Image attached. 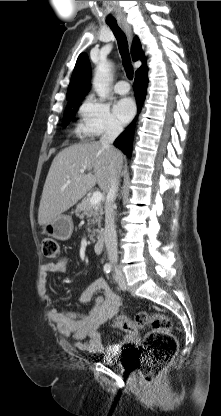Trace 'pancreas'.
I'll use <instances>...</instances> for the list:
<instances>
[{
  "instance_id": "obj_1",
  "label": "pancreas",
  "mask_w": 221,
  "mask_h": 416,
  "mask_svg": "<svg viewBox=\"0 0 221 416\" xmlns=\"http://www.w3.org/2000/svg\"><path fill=\"white\" fill-rule=\"evenodd\" d=\"M103 205L101 203L96 205L90 204V198H85L83 201L77 205L75 214L80 219H83L85 216L88 219V226L90 225H97L99 229H93L92 235H90V238L93 239L95 236V232L101 233V220L103 215ZM89 232H91L90 229H88Z\"/></svg>"
}]
</instances>
